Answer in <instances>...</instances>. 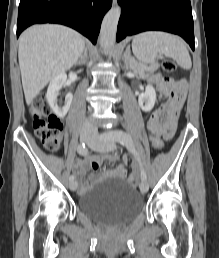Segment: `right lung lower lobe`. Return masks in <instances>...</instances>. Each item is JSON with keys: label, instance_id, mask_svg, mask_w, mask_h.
Segmentation results:
<instances>
[{"label": "right lung lower lobe", "instance_id": "obj_1", "mask_svg": "<svg viewBox=\"0 0 219 258\" xmlns=\"http://www.w3.org/2000/svg\"><path fill=\"white\" fill-rule=\"evenodd\" d=\"M112 0H20L17 37L36 23H59L85 35L93 44L97 41L101 21Z\"/></svg>", "mask_w": 219, "mask_h": 258}]
</instances>
